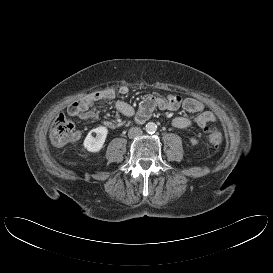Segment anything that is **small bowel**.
Masks as SVG:
<instances>
[{
    "label": "small bowel",
    "instance_id": "small-bowel-1",
    "mask_svg": "<svg viewBox=\"0 0 273 273\" xmlns=\"http://www.w3.org/2000/svg\"><path fill=\"white\" fill-rule=\"evenodd\" d=\"M128 92L129 88L127 86L121 87L120 93L127 94ZM114 98V90H104L92 93L83 99L72 103L68 107V113L79 120H94L96 114L90 110L94 103L104 100H113ZM114 106L119 113L126 117H134L138 122H143L149 118L156 108L161 110L182 109L187 113H198V116L194 120H191L186 116L175 117L172 124L177 128H187L193 123L201 128H205L209 123L217 120L215 114L211 111L205 110L204 104L199 100L195 98L182 99L176 95H170L166 99L156 96H148L140 103L137 109L121 100L114 101ZM107 125L111 126L112 123H107ZM79 137L80 134L77 133V138Z\"/></svg>",
    "mask_w": 273,
    "mask_h": 273
}]
</instances>
